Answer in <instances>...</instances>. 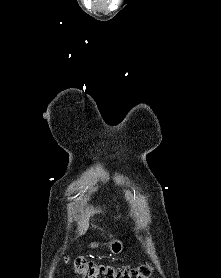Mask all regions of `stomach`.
Returning a JSON list of instances; mask_svg holds the SVG:
<instances>
[{
  "label": "stomach",
  "mask_w": 221,
  "mask_h": 278,
  "mask_svg": "<svg viewBox=\"0 0 221 278\" xmlns=\"http://www.w3.org/2000/svg\"><path fill=\"white\" fill-rule=\"evenodd\" d=\"M91 247L95 248L98 247V244L91 243ZM108 249L114 254L118 255L122 252L123 250V244L120 240H113L108 244Z\"/></svg>",
  "instance_id": "1"
}]
</instances>
